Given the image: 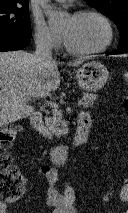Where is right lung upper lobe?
I'll return each instance as SVG.
<instances>
[{
  "mask_svg": "<svg viewBox=\"0 0 128 213\" xmlns=\"http://www.w3.org/2000/svg\"><path fill=\"white\" fill-rule=\"evenodd\" d=\"M29 0H0V6L28 4Z\"/></svg>",
  "mask_w": 128,
  "mask_h": 213,
  "instance_id": "1",
  "label": "right lung upper lobe"
}]
</instances>
